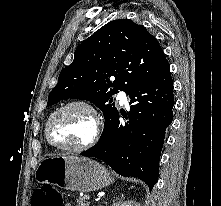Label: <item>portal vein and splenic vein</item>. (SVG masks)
Returning <instances> with one entry per match:
<instances>
[{"instance_id": "obj_1", "label": "portal vein and splenic vein", "mask_w": 221, "mask_h": 206, "mask_svg": "<svg viewBox=\"0 0 221 206\" xmlns=\"http://www.w3.org/2000/svg\"><path fill=\"white\" fill-rule=\"evenodd\" d=\"M85 199H86V200H89V199H90V197H89V196H85Z\"/></svg>"}]
</instances>
